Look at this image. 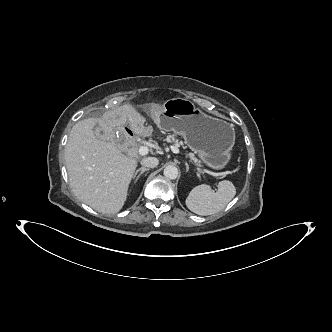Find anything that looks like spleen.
Returning <instances> with one entry per match:
<instances>
[{"instance_id": "spleen-1", "label": "spleen", "mask_w": 332, "mask_h": 332, "mask_svg": "<svg viewBox=\"0 0 332 332\" xmlns=\"http://www.w3.org/2000/svg\"><path fill=\"white\" fill-rule=\"evenodd\" d=\"M236 188L231 181L219 182L218 191L208 185L194 187L186 198V206L197 215L207 216L220 212L235 197Z\"/></svg>"}]
</instances>
